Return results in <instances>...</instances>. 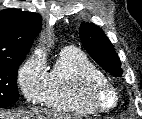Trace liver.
<instances>
[{"mask_svg":"<svg viewBox=\"0 0 142 119\" xmlns=\"http://www.w3.org/2000/svg\"><path fill=\"white\" fill-rule=\"evenodd\" d=\"M0 119H70L69 116L47 110H21L14 114L0 112Z\"/></svg>","mask_w":142,"mask_h":119,"instance_id":"6515ba94","label":"liver"}]
</instances>
